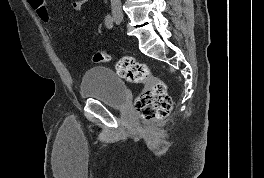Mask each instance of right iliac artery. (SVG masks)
Returning <instances> with one entry per match:
<instances>
[{
	"label": "right iliac artery",
	"mask_w": 264,
	"mask_h": 178,
	"mask_svg": "<svg viewBox=\"0 0 264 178\" xmlns=\"http://www.w3.org/2000/svg\"><path fill=\"white\" fill-rule=\"evenodd\" d=\"M105 25L108 29H112L113 27V18L111 15H107L105 18Z\"/></svg>",
	"instance_id": "right-iliac-artery-1"
}]
</instances>
